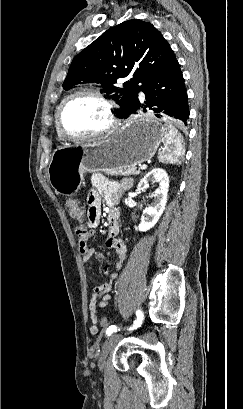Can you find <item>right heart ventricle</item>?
I'll return each instance as SVG.
<instances>
[{"instance_id": "e07e8e85", "label": "right heart ventricle", "mask_w": 243, "mask_h": 409, "mask_svg": "<svg viewBox=\"0 0 243 409\" xmlns=\"http://www.w3.org/2000/svg\"><path fill=\"white\" fill-rule=\"evenodd\" d=\"M57 134H58V136H59L60 138H62V137L60 136V134L58 133V131H57Z\"/></svg>"}]
</instances>
